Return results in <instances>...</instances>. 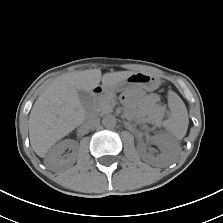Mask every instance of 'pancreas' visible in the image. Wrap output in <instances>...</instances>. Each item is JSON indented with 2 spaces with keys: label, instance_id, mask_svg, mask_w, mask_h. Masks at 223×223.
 <instances>
[{
  "label": "pancreas",
  "instance_id": "pancreas-1",
  "mask_svg": "<svg viewBox=\"0 0 223 223\" xmlns=\"http://www.w3.org/2000/svg\"><path fill=\"white\" fill-rule=\"evenodd\" d=\"M114 105H115V94L108 93L100 98L94 99L89 109L91 110V112L96 114H105L112 112Z\"/></svg>",
  "mask_w": 223,
  "mask_h": 223
}]
</instances>
